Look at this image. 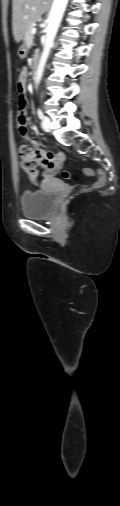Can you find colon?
Masks as SVG:
<instances>
[{"mask_svg": "<svg viewBox=\"0 0 120 506\" xmlns=\"http://www.w3.org/2000/svg\"><path fill=\"white\" fill-rule=\"evenodd\" d=\"M19 77H24V72H19ZM18 126L19 132L24 135L26 134V98L24 95V88L21 82L18 83ZM19 155L21 157V166L22 169L26 172L28 177L31 180H34L38 175L37 166L39 164V159L41 157V153L35 149L31 144L25 143L22 144L19 148ZM81 174L85 177L93 176V171L89 168H84L81 170ZM64 178H69L70 174L66 171L63 172ZM98 180L95 183V188H102L106 183V175L103 170L97 171Z\"/></svg>", "mask_w": 120, "mask_h": 506, "instance_id": "colon-1", "label": "colon"}]
</instances>
